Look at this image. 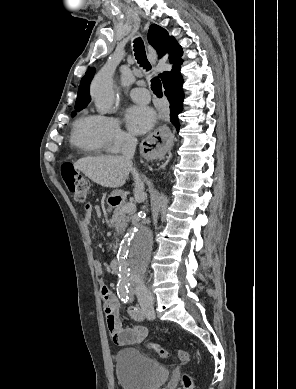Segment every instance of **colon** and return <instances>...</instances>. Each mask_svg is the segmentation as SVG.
I'll return each instance as SVG.
<instances>
[{
    "mask_svg": "<svg viewBox=\"0 0 296 389\" xmlns=\"http://www.w3.org/2000/svg\"><path fill=\"white\" fill-rule=\"evenodd\" d=\"M61 175L66 187L73 194L75 200L80 203L85 202L89 192V185L85 177L77 172L70 163L62 165ZM152 348L162 358H167L169 355V352L162 346L153 345ZM176 354L182 362H188L190 360V355L186 351L177 350ZM182 383L184 389H191L193 386L192 379L187 374L182 376Z\"/></svg>",
    "mask_w": 296,
    "mask_h": 389,
    "instance_id": "obj_1",
    "label": "colon"
}]
</instances>
